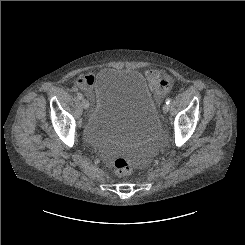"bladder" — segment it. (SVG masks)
<instances>
[{
    "label": "bladder",
    "mask_w": 245,
    "mask_h": 245,
    "mask_svg": "<svg viewBox=\"0 0 245 245\" xmlns=\"http://www.w3.org/2000/svg\"><path fill=\"white\" fill-rule=\"evenodd\" d=\"M93 108L81 135L87 144L133 145L156 133L157 106L136 69L103 68L94 82Z\"/></svg>",
    "instance_id": "1"
}]
</instances>
